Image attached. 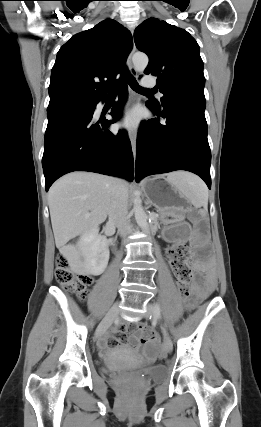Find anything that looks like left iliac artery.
Returning a JSON list of instances; mask_svg holds the SVG:
<instances>
[{
    "label": "left iliac artery",
    "mask_w": 261,
    "mask_h": 427,
    "mask_svg": "<svg viewBox=\"0 0 261 427\" xmlns=\"http://www.w3.org/2000/svg\"><path fill=\"white\" fill-rule=\"evenodd\" d=\"M154 312L157 318L161 319V310H160V306L156 303L154 305Z\"/></svg>",
    "instance_id": "left-iliac-artery-1"
}]
</instances>
